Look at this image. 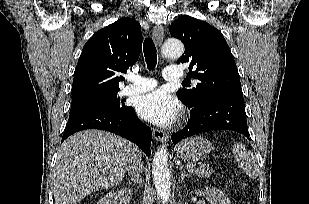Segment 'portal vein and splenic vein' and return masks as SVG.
Instances as JSON below:
<instances>
[{"mask_svg":"<svg viewBox=\"0 0 309 204\" xmlns=\"http://www.w3.org/2000/svg\"><path fill=\"white\" fill-rule=\"evenodd\" d=\"M189 167H190L189 165L186 166L187 169H188Z\"/></svg>","mask_w":309,"mask_h":204,"instance_id":"obj_1","label":"portal vein and splenic vein"}]
</instances>
